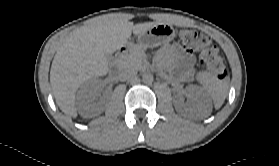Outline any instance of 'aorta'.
Listing matches in <instances>:
<instances>
[{
  "mask_svg": "<svg viewBox=\"0 0 279 166\" xmlns=\"http://www.w3.org/2000/svg\"><path fill=\"white\" fill-rule=\"evenodd\" d=\"M142 81L146 84H150L153 82V74L150 72H146L142 75Z\"/></svg>",
  "mask_w": 279,
  "mask_h": 166,
  "instance_id": "762f6f07",
  "label": "aorta"
}]
</instances>
